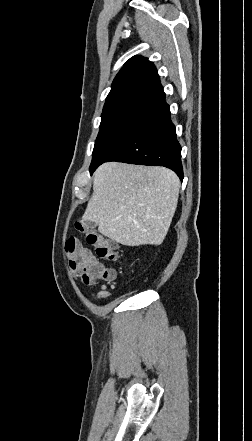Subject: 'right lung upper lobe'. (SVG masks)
I'll list each match as a JSON object with an SVG mask.
<instances>
[{"label": "right lung upper lobe", "instance_id": "obj_1", "mask_svg": "<svg viewBox=\"0 0 252 441\" xmlns=\"http://www.w3.org/2000/svg\"><path fill=\"white\" fill-rule=\"evenodd\" d=\"M163 90L157 70L142 56L129 59L115 77L103 110L134 101H147Z\"/></svg>", "mask_w": 252, "mask_h": 441}]
</instances>
